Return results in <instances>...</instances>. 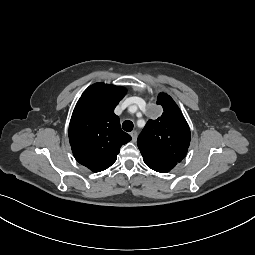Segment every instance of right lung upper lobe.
Instances as JSON below:
<instances>
[{
  "label": "right lung upper lobe",
  "mask_w": 255,
  "mask_h": 255,
  "mask_svg": "<svg viewBox=\"0 0 255 255\" xmlns=\"http://www.w3.org/2000/svg\"><path fill=\"white\" fill-rule=\"evenodd\" d=\"M126 94L121 86L95 83L77 102L69 125V141L75 159L93 172L109 168L120 147L132 138L120 126L114 109Z\"/></svg>",
  "instance_id": "right-lung-upper-lobe-1"
}]
</instances>
